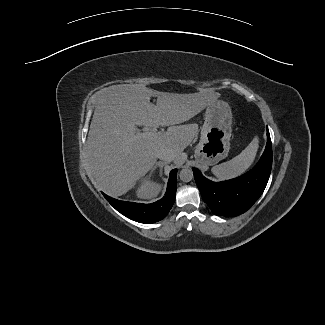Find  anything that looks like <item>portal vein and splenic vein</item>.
I'll return each mask as SVG.
<instances>
[{"instance_id":"18ae733b","label":"portal vein and splenic vein","mask_w":325,"mask_h":325,"mask_svg":"<svg viewBox=\"0 0 325 325\" xmlns=\"http://www.w3.org/2000/svg\"><path fill=\"white\" fill-rule=\"evenodd\" d=\"M161 135V132H156V131H147V132H137L136 136L143 138V139H150L153 140L157 138L158 136Z\"/></svg>"}]
</instances>
